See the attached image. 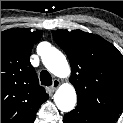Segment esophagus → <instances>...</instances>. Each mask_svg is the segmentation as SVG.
Returning a JSON list of instances; mask_svg holds the SVG:
<instances>
[{
  "label": "esophagus",
  "mask_w": 123,
  "mask_h": 123,
  "mask_svg": "<svg viewBox=\"0 0 123 123\" xmlns=\"http://www.w3.org/2000/svg\"><path fill=\"white\" fill-rule=\"evenodd\" d=\"M59 85H60V81L58 79H54L51 85V90L55 91L59 87Z\"/></svg>",
  "instance_id": "34e87169"
}]
</instances>
